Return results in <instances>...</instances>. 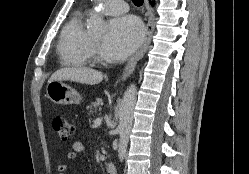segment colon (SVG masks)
Returning a JSON list of instances; mask_svg holds the SVG:
<instances>
[{
  "label": "colon",
  "instance_id": "1",
  "mask_svg": "<svg viewBox=\"0 0 249 174\" xmlns=\"http://www.w3.org/2000/svg\"><path fill=\"white\" fill-rule=\"evenodd\" d=\"M52 125L58 137L62 141H67L74 133L73 124L62 116H55L52 120Z\"/></svg>",
  "mask_w": 249,
  "mask_h": 174
}]
</instances>
